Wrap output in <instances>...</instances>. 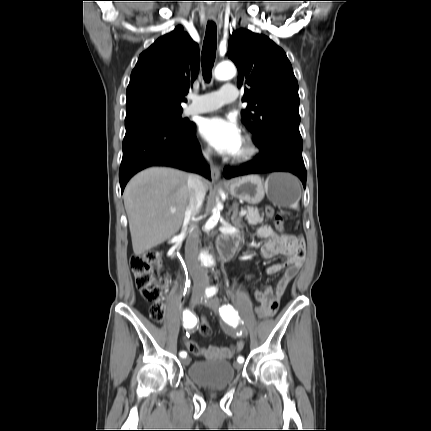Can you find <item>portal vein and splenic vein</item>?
Here are the masks:
<instances>
[{
	"label": "portal vein and splenic vein",
	"mask_w": 431,
	"mask_h": 431,
	"mask_svg": "<svg viewBox=\"0 0 431 431\" xmlns=\"http://www.w3.org/2000/svg\"><path fill=\"white\" fill-rule=\"evenodd\" d=\"M170 211H171V213H175V212H176V210H175V209H171ZM246 214H247V211H246V210H241V212H240V216H244V215H246Z\"/></svg>",
	"instance_id": "18ae733b"
}]
</instances>
